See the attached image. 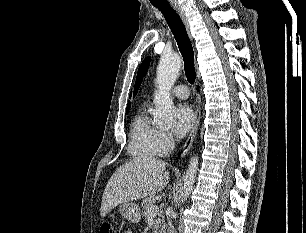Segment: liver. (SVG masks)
Wrapping results in <instances>:
<instances>
[{"instance_id": "1", "label": "liver", "mask_w": 306, "mask_h": 233, "mask_svg": "<svg viewBox=\"0 0 306 233\" xmlns=\"http://www.w3.org/2000/svg\"><path fill=\"white\" fill-rule=\"evenodd\" d=\"M169 182L166 164L154 158H136L120 166L107 183L101 202V217L117 205L152 196Z\"/></svg>"}]
</instances>
